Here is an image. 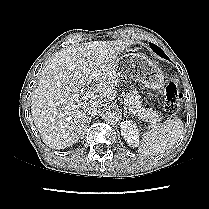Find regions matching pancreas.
Here are the masks:
<instances>
[{
  "instance_id": "cf45deb5",
  "label": "pancreas",
  "mask_w": 209,
  "mask_h": 209,
  "mask_svg": "<svg viewBox=\"0 0 209 209\" xmlns=\"http://www.w3.org/2000/svg\"><path fill=\"white\" fill-rule=\"evenodd\" d=\"M125 101H127L129 108L135 111L133 114L139 119L145 122H150L152 125H156L162 120V115L159 112L154 111L153 109H146L142 107L140 96L137 90H130L125 96Z\"/></svg>"
}]
</instances>
